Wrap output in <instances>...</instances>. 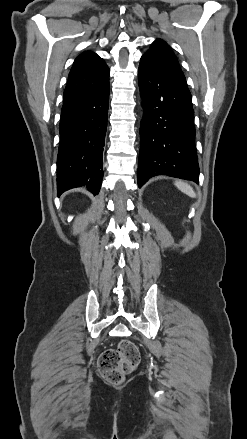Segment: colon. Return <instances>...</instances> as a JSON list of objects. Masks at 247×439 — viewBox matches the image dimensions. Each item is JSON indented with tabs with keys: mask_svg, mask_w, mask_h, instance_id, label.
<instances>
[{
	"mask_svg": "<svg viewBox=\"0 0 247 439\" xmlns=\"http://www.w3.org/2000/svg\"><path fill=\"white\" fill-rule=\"evenodd\" d=\"M140 353L129 340L120 341L116 349H107L99 357L98 367L102 377L112 384H120L139 364Z\"/></svg>",
	"mask_w": 247,
	"mask_h": 439,
	"instance_id": "colon-1",
	"label": "colon"
}]
</instances>
